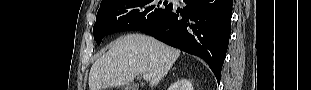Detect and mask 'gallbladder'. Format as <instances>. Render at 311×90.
Returning a JSON list of instances; mask_svg holds the SVG:
<instances>
[{"label": "gallbladder", "instance_id": "1", "mask_svg": "<svg viewBox=\"0 0 311 90\" xmlns=\"http://www.w3.org/2000/svg\"><path fill=\"white\" fill-rule=\"evenodd\" d=\"M137 89H138V87L134 84H130L126 87V90H137Z\"/></svg>", "mask_w": 311, "mask_h": 90}]
</instances>
